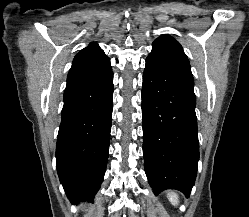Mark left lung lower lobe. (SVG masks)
I'll list each match as a JSON object with an SVG mask.
<instances>
[{"label": "left lung lower lobe", "mask_w": 249, "mask_h": 217, "mask_svg": "<svg viewBox=\"0 0 249 217\" xmlns=\"http://www.w3.org/2000/svg\"><path fill=\"white\" fill-rule=\"evenodd\" d=\"M194 80L189 73L146 61L142 86L143 156L155 195L189 196L199 160Z\"/></svg>", "instance_id": "1"}]
</instances>
